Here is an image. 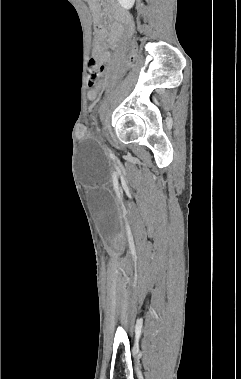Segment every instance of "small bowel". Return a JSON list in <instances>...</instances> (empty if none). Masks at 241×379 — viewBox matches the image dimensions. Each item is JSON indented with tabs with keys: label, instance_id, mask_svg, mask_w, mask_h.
<instances>
[{
	"label": "small bowel",
	"instance_id": "1",
	"mask_svg": "<svg viewBox=\"0 0 241 379\" xmlns=\"http://www.w3.org/2000/svg\"><path fill=\"white\" fill-rule=\"evenodd\" d=\"M102 3L108 13L116 19L115 24L112 26L111 32L108 33L101 23L99 7L97 5L93 6L94 16L97 21L93 54L100 63L104 64L110 59V53L108 51L109 46L114 43L122 24L126 22L129 17L115 5L114 0H102ZM87 96L90 100H94L97 96V90L93 88L89 89Z\"/></svg>",
	"mask_w": 241,
	"mask_h": 379
}]
</instances>
